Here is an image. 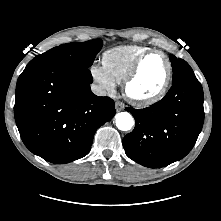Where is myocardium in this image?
<instances>
[{
	"mask_svg": "<svg viewBox=\"0 0 221 221\" xmlns=\"http://www.w3.org/2000/svg\"><path fill=\"white\" fill-rule=\"evenodd\" d=\"M155 53L162 55L166 61L167 73L165 76V80H164L161 88L156 93H154L150 96H144V97L136 96L131 93L130 87H131L133 81L135 80V78L137 77V75L140 71L141 65L144 62V60L148 56H150L151 54H155ZM172 76H173V64H172V61L169 58L168 54L162 50H159V49H149L146 52L142 53L136 59V61L134 62V64L130 68L129 72L127 73V75L123 81L124 94L127 99H129L131 102H133L134 104H136L138 106H148V105L154 104V103L160 101L168 92L170 84H171Z\"/></svg>",
	"mask_w": 221,
	"mask_h": 221,
	"instance_id": "f54148a6",
	"label": "myocardium"
}]
</instances>
